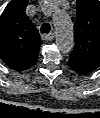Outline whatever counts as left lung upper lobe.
<instances>
[{
	"label": "left lung upper lobe",
	"mask_w": 100,
	"mask_h": 118,
	"mask_svg": "<svg viewBox=\"0 0 100 118\" xmlns=\"http://www.w3.org/2000/svg\"><path fill=\"white\" fill-rule=\"evenodd\" d=\"M75 46L68 65L89 73L100 66V1L77 0Z\"/></svg>",
	"instance_id": "obj_1"
}]
</instances>
